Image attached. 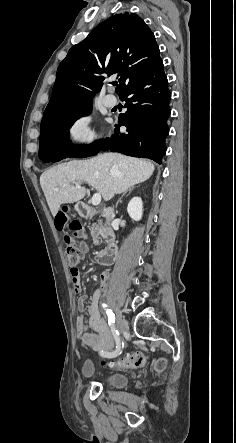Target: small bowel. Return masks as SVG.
Returning <instances> with one entry per match:
<instances>
[{
	"label": "small bowel",
	"mask_w": 236,
	"mask_h": 443,
	"mask_svg": "<svg viewBox=\"0 0 236 443\" xmlns=\"http://www.w3.org/2000/svg\"><path fill=\"white\" fill-rule=\"evenodd\" d=\"M80 249L86 253L88 251V246L84 243L80 244ZM72 280L74 291L77 294H81L83 291V286L80 281L79 272L77 269H71ZM109 277L107 271H103L99 277V286L94 291L93 303L86 306L87 297L81 295L78 299V307L80 309V314L77 316L76 324L79 330V340L80 344L84 347H88L100 352H106L112 349L115 345V339L113 338L111 331L108 327L106 321L102 318L100 312L98 311L96 301L101 298V296L107 291L108 287L106 281ZM86 310L89 315V321L87 324L84 323L83 310Z\"/></svg>",
	"instance_id": "1"
}]
</instances>
